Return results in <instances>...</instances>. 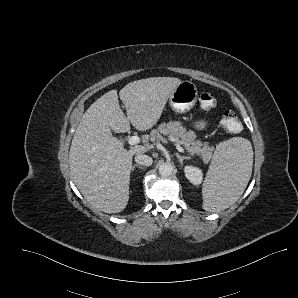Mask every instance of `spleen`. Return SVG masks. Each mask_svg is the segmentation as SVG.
<instances>
[{"label":"spleen","mask_w":298,"mask_h":298,"mask_svg":"<svg viewBox=\"0 0 298 298\" xmlns=\"http://www.w3.org/2000/svg\"><path fill=\"white\" fill-rule=\"evenodd\" d=\"M253 155L251 142L243 137L217 145L202 186L205 211H223L241 197L251 178Z\"/></svg>","instance_id":"spleen-1"}]
</instances>
